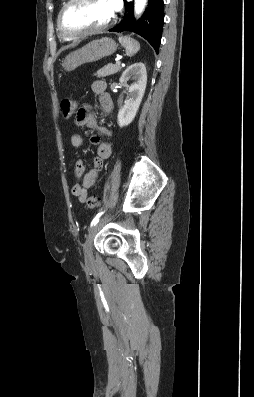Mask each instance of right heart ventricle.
<instances>
[{
    "mask_svg": "<svg viewBox=\"0 0 254 397\" xmlns=\"http://www.w3.org/2000/svg\"><path fill=\"white\" fill-rule=\"evenodd\" d=\"M63 38L66 39V40H70V38H67V37H64V36H63Z\"/></svg>",
    "mask_w": 254,
    "mask_h": 397,
    "instance_id": "1",
    "label": "right heart ventricle"
}]
</instances>
